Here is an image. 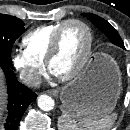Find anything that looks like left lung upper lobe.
<instances>
[{
  "mask_svg": "<svg viewBox=\"0 0 130 130\" xmlns=\"http://www.w3.org/2000/svg\"><path fill=\"white\" fill-rule=\"evenodd\" d=\"M83 16L89 18V20L95 24L97 28L102 30L113 44L125 49L123 41L118 32L106 20L92 13H85Z\"/></svg>",
  "mask_w": 130,
  "mask_h": 130,
  "instance_id": "obj_1",
  "label": "left lung upper lobe"
}]
</instances>
